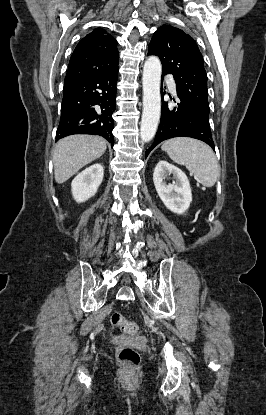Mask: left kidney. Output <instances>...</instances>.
<instances>
[{"label": "left kidney", "mask_w": 266, "mask_h": 415, "mask_svg": "<svg viewBox=\"0 0 266 415\" xmlns=\"http://www.w3.org/2000/svg\"><path fill=\"white\" fill-rule=\"evenodd\" d=\"M173 174L175 181L166 184L165 179ZM155 189L164 205L173 213H185L192 202V192L186 174L167 161H159L153 173Z\"/></svg>", "instance_id": "1"}]
</instances>
